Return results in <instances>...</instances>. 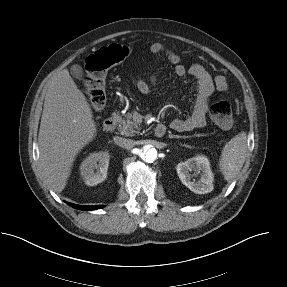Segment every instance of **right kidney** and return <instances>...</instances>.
Masks as SVG:
<instances>
[{"label": "right kidney", "instance_id": "obj_1", "mask_svg": "<svg viewBox=\"0 0 287 287\" xmlns=\"http://www.w3.org/2000/svg\"><path fill=\"white\" fill-rule=\"evenodd\" d=\"M110 155L108 152H94L80 165V174L85 184L94 186L106 179Z\"/></svg>", "mask_w": 287, "mask_h": 287}]
</instances>
